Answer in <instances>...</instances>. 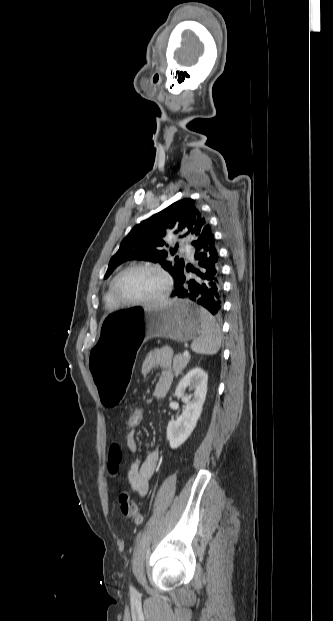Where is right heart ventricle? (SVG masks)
Here are the masks:
<instances>
[{
	"label": "right heart ventricle",
	"instance_id": "1",
	"mask_svg": "<svg viewBox=\"0 0 333 621\" xmlns=\"http://www.w3.org/2000/svg\"><path fill=\"white\" fill-rule=\"evenodd\" d=\"M104 301H105V305L108 308H116L119 305L117 304V302L115 301L112 292H111V284L109 285L105 295H104Z\"/></svg>",
	"mask_w": 333,
	"mask_h": 621
}]
</instances>
